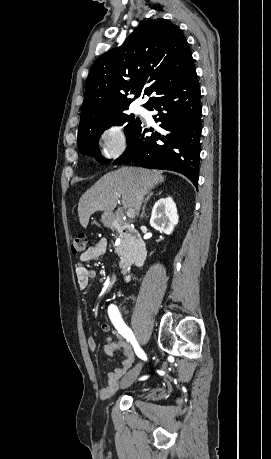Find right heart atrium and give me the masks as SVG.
Returning <instances> with one entry per match:
<instances>
[{"label":"right heart atrium","instance_id":"1","mask_svg":"<svg viewBox=\"0 0 271 459\" xmlns=\"http://www.w3.org/2000/svg\"><path fill=\"white\" fill-rule=\"evenodd\" d=\"M96 144L100 154L105 159L118 158L127 148V135L124 126L118 123L103 126L97 133Z\"/></svg>","mask_w":271,"mask_h":459}]
</instances>
